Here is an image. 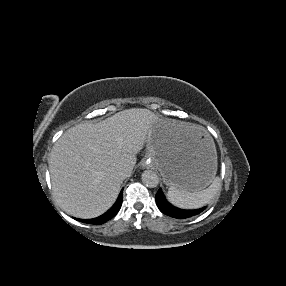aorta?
I'll use <instances>...</instances> for the list:
<instances>
[{"instance_id": "aorta-1", "label": "aorta", "mask_w": 286, "mask_h": 286, "mask_svg": "<svg viewBox=\"0 0 286 286\" xmlns=\"http://www.w3.org/2000/svg\"><path fill=\"white\" fill-rule=\"evenodd\" d=\"M142 182L144 185L150 188H155L159 184V177L158 175L152 170H146L142 173L141 176Z\"/></svg>"}]
</instances>
